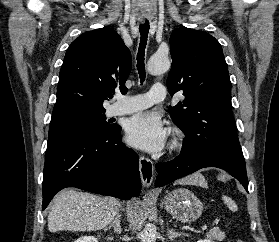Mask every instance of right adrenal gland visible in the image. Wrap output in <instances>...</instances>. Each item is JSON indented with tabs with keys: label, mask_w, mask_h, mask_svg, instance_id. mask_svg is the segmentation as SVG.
Listing matches in <instances>:
<instances>
[{
	"label": "right adrenal gland",
	"mask_w": 279,
	"mask_h": 242,
	"mask_svg": "<svg viewBox=\"0 0 279 242\" xmlns=\"http://www.w3.org/2000/svg\"><path fill=\"white\" fill-rule=\"evenodd\" d=\"M120 220H121V215L117 213L115 220L112 223H110L109 226L104 229V231H107L108 229H111L113 227L114 231L120 234L122 232Z\"/></svg>",
	"instance_id": "2a0ac1e0"
}]
</instances>
